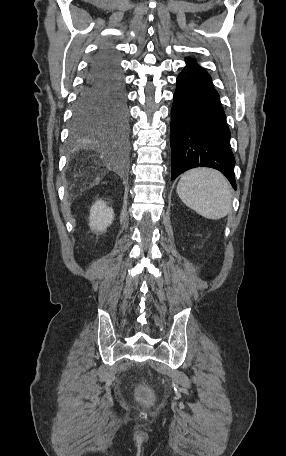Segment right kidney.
<instances>
[{"instance_id":"right-kidney-1","label":"right kidney","mask_w":286,"mask_h":456,"mask_svg":"<svg viewBox=\"0 0 286 456\" xmlns=\"http://www.w3.org/2000/svg\"><path fill=\"white\" fill-rule=\"evenodd\" d=\"M114 220L113 209L103 200H97L90 209L89 226L92 231L103 232Z\"/></svg>"}]
</instances>
